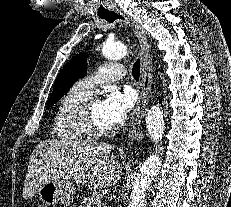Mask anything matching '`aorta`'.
I'll list each match as a JSON object with an SVG mask.
<instances>
[{
    "label": "aorta",
    "instance_id": "aorta-1",
    "mask_svg": "<svg viewBox=\"0 0 231 207\" xmlns=\"http://www.w3.org/2000/svg\"><path fill=\"white\" fill-rule=\"evenodd\" d=\"M129 50L121 42H105L102 54L110 60H119L126 57ZM146 126L151 139L157 144L164 132L163 112L158 106H153L146 115ZM162 161L157 152L146 159L135 178L127 207H146L145 194L154 178L157 176Z\"/></svg>",
    "mask_w": 231,
    "mask_h": 207
}]
</instances>
